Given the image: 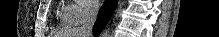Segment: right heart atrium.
I'll use <instances>...</instances> for the list:
<instances>
[{
  "label": "right heart atrium",
  "mask_w": 219,
  "mask_h": 37,
  "mask_svg": "<svg viewBox=\"0 0 219 37\" xmlns=\"http://www.w3.org/2000/svg\"><path fill=\"white\" fill-rule=\"evenodd\" d=\"M97 11V3L92 0H75L64 11L67 21L80 24L91 19Z\"/></svg>",
  "instance_id": "1"
}]
</instances>
